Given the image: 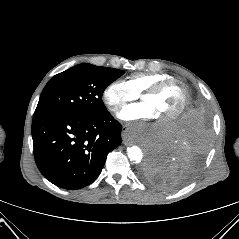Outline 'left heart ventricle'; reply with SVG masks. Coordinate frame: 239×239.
I'll return each mask as SVG.
<instances>
[{"label":"left heart ventricle","mask_w":239,"mask_h":239,"mask_svg":"<svg viewBox=\"0 0 239 239\" xmlns=\"http://www.w3.org/2000/svg\"><path fill=\"white\" fill-rule=\"evenodd\" d=\"M142 102L148 105L154 119L162 121L180 107L182 92L178 86L171 85L158 94L144 96Z\"/></svg>","instance_id":"1"}]
</instances>
